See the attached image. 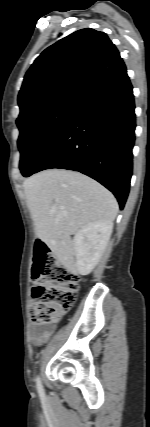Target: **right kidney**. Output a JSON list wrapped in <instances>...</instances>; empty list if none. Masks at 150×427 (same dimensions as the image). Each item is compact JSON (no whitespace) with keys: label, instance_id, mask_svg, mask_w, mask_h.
<instances>
[{"label":"right kidney","instance_id":"ca27d5eb","mask_svg":"<svg viewBox=\"0 0 150 427\" xmlns=\"http://www.w3.org/2000/svg\"><path fill=\"white\" fill-rule=\"evenodd\" d=\"M112 230L113 222H94L75 234L73 246L79 274L88 275L94 269L104 253Z\"/></svg>","mask_w":150,"mask_h":427}]
</instances>
